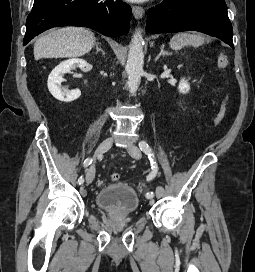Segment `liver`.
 Wrapping results in <instances>:
<instances>
[{"mask_svg": "<svg viewBox=\"0 0 255 272\" xmlns=\"http://www.w3.org/2000/svg\"><path fill=\"white\" fill-rule=\"evenodd\" d=\"M94 33L82 27H64L39 37L34 58H70L88 53L95 43Z\"/></svg>", "mask_w": 255, "mask_h": 272, "instance_id": "1", "label": "liver"}]
</instances>
